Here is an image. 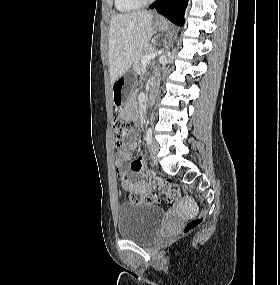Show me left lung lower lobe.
Instances as JSON below:
<instances>
[{"label": "left lung lower lobe", "instance_id": "0a47b994", "mask_svg": "<svg viewBox=\"0 0 280 285\" xmlns=\"http://www.w3.org/2000/svg\"><path fill=\"white\" fill-rule=\"evenodd\" d=\"M187 2L188 0H158L150 8H155L158 13L165 16L171 22L182 26Z\"/></svg>", "mask_w": 280, "mask_h": 285}]
</instances>
